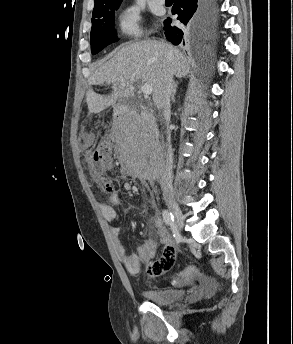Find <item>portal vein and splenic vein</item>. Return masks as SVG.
I'll return each instance as SVG.
<instances>
[{"mask_svg": "<svg viewBox=\"0 0 293 344\" xmlns=\"http://www.w3.org/2000/svg\"><path fill=\"white\" fill-rule=\"evenodd\" d=\"M122 86H125L126 83L125 82H122L121 83ZM139 88L141 90V92L145 95V96H149L151 93H152V86L149 85V84H142V85H139Z\"/></svg>", "mask_w": 293, "mask_h": 344, "instance_id": "obj_1", "label": "portal vein and splenic vein"}]
</instances>
